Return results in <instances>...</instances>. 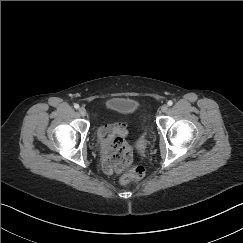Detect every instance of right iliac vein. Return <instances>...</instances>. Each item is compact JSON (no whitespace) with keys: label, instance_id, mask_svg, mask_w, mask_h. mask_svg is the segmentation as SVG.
I'll use <instances>...</instances> for the list:
<instances>
[{"label":"right iliac vein","instance_id":"obj_1","mask_svg":"<svg viewBox=\"0 0 243 243\" xmlns=\"http://www.w3.org/2000/svg\"><path fill=\"white\" fill-rule=\"evenodd\" d=\"M79 113H80L81 116H85V115H86V110H85V108H80V109H79Z\"/></svg>","mask_w":243,"mask_h":243}]
</instances>
